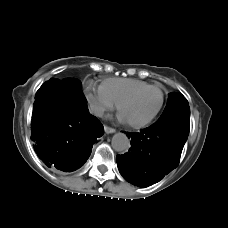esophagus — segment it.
<instances>
[{"mask_svg": "<svg viewBox=\"0 0 228 228\" xmlns=\"http://www.w3.org/2000/svg\"><path fill=\"white\" fill-rule=\"evenodd\" d=\"M104 131L106 134H112L114 133L116 130L112 127H109V126H104Z\"/></svg>", "mask_w": 228, "mask_h": 228, "instance_id": "obj_1", "label": "esophagus"}]
</instances>
